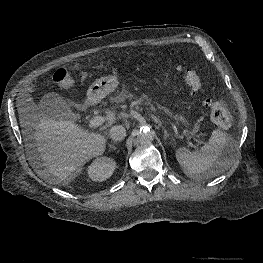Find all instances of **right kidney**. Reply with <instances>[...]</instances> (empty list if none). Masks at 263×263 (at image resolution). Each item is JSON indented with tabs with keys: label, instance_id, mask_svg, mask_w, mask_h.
<instances>
[{
	"label": "right kidney",
	"instance_id": "1",
	"mask_svg": "<svg viewBox=\"0 0 263 263\" xmlns=\"http://www.w3.org/2000/svg\"><path fill=\"white\" fill-rule=\"evenodd\" d=\"M116 163L108 157H99L88 166V176L93 181H104L114 172Z\"/></svg>",
	"mask_w": 263,
	"mask_h": 263
}]
</instances>
